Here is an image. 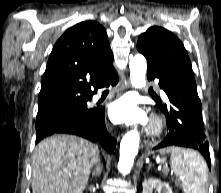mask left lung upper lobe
<instances>
[{
  "mask_svg": "<svg viewBox=\"0 0 221 193\" xmlns=\"http://www.w3.org/2000/svg\"><path fill=\"white\" fill-rule=\"evenodd\" d=\"M137 49L147 60L160 66L193 72L182 42L162 27L153 26L142 33L138 39Z\"/></svg>",
  "mask_w": 221,
  "mask_h": 193,
  "instance_id": "left-lung-upper-lobe-1",
  "label": "left lung upper lobe"
}]
</instances>
